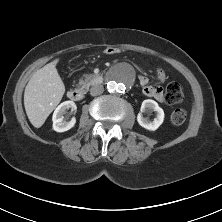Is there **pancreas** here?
Returning <instances> with one entry per match:
<instances>
[{"mask_svg": "<svg viewBox=\"0 0 222 222\" xmlns=\"http://www.w3.org/2000/svg\"><path fill=\"white\" fill-rule=\"evenodd\" d=\"M95 77L96 76L93 74L87 75L84 80L82 79L79 80V85L82 88H88L93 83Z\"/></svg>", "mask_w": 222, "mask_h": 222, "instance_id": "1", "label": "pancreas"}]
</instances>
